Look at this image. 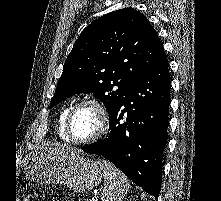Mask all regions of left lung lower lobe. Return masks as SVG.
<instances>
[{
  "instance_id": "left-lung-lower-lobe-1",
  "label": "left lung lower lobe",
  "mask_w": 221,
  "mask_h": 201,
  "mask_svg": "<svg viewBox=\"0 0 221 201\" xmlns=\"http://www.w3.org/2000/svg\"><path fill=\"white\" fill-rule=\"evenodd\" d=\"M169 105L170 76L165 56L114 110L107 137L82 150L108 159L144 191L158 198Z\"/></svg>"
}]
</instances>
